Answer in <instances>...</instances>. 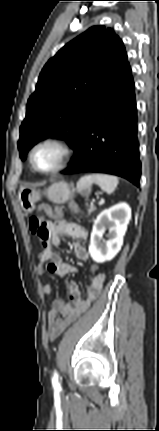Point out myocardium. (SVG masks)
<instances>
[{"instance_id": "myocardium-1", "label": "myocardium", "mask_w": 159, "mask_h": 431, "mask_svg": "<svg viewBox=\"0 0 159 431\" xmlns=\"http://www.w3.org/2000/svg\"><path fill=\"white\" fill-rule=\"evenodd\" d=\"M44 145L56 146L61 151V159H60L59 163L54 168H52L50 170H45V171L37 168L35 163H34L35 151L39 147L44 146ZM72 155H73V149H72L71 145L65 139L58 137V136H48V137H44V138L38 140L31 147L28 158H29L30 165L34 171H36L37 173H40V174L49 175V174L57 173L58 171L62 170L69 163Z\"/></svg>"}]
</instances>
